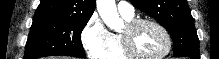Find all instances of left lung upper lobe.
Listing matches in <instances>:
<instances>
[{
    "label": "left lung upper lobe",
    "mask_w": 219,
    "mask_h": 59,
    "mask_svg": "<svg viewBox=\"0 0 219 59\" xmlns=\"http://www.w3.org/2000/svg\"><path fill=\"white\" fill-rule=\"evenodd\" d=\"M171 31L174 56L199 57V39L187 0H130Z\"/></svg>",
    "instance_id": "1"
}]
</instances>
